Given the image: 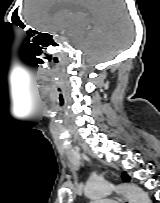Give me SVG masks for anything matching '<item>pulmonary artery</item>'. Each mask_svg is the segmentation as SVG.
<instances>
[{
	"mask_svg": "<svg viewBox=\"0 0 160 203\" xmlns=\"http://www.w3.org/2000/svg\"><path fill=\"white\" fill-rule=\"evenodd\" d=\"M92 203H115L114 201H94Z\"/></svg>",
	"mask_w": 160,
	"mask_h": 203,
	"instance_id": "1",
	"label": "pulmonary artery"
}]
</instances>
